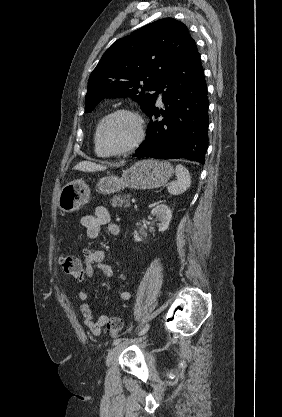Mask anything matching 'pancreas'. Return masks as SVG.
<instances>
[{"label": "pancreas", "instance_id": "1", "mask_svg": "<svg viewBox=\"0 0 282 417\" xmlns=\"http://www.w3.org/2000/svg\"><path fill=\"white\" fill-rule=\"evenodd\" d=\"M132 194H116V196H113L111 198V204L112 206H131L130 204V198Z\"/></svg>", "mask_w": 282, "mask_h": 417}]
</instances>
